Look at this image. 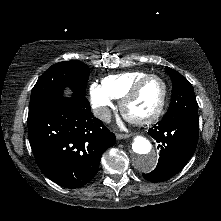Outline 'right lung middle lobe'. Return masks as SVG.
<instances>
[{
  "label": "right lung middle lobe",
  "instance_id": "1",
  "mask_svg": "<svg viewBox=\"0 0 221 221\" xmlns=\"http://www.w3.org/2000/svg\"><path fill=\"white\" fill-rule=\"evenodd\" d=\"M88 79L89 67L77 60L63 61L49 67L32 89L28 121L62 97L65 87L85 96Z\"/></svg>",
  "mask_w": 221,
  "mask_h": 221
}]
</instances>
